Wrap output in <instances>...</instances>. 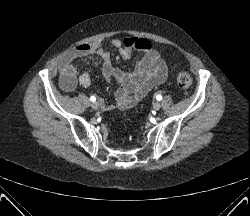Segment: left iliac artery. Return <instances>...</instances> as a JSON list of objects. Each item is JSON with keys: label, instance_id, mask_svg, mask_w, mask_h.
Segmentation results:
<instances>
[{"label": "left iliac artery", "instance_id": "1", "mask_svg": "<svg viewBox=\"0 0 250 216\" xmlns=\"http://www.w3.org/2000/svg\"><path fill=\"white\" fill-rule=\"evenodd\" d=\"M156 99H157L158 101H160V100L162 99V96H161V95H157V96H156Z\"/></svg>", "mask_w": 250, "mask_h": 216}]
</instances>
